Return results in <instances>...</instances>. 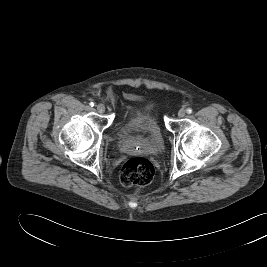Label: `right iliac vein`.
<instances>
[{
    "instance_id": "right-iliac-vein-1",
    "label": "right iliac vein",
    "mask_w": 267,
    "mask_h": 267,
    "mask_svg": "<svg viewBox=\"0 0 267 267\" xmlns=\"http://www.w3.org/2000/svg\"><path fill=\"white\" fill-rule=\"evenodd\" d=\"M96 109L99 113H104L105 112V106L102 103H99L98 105H96Z\"/></svg>"
}]
</instances>
